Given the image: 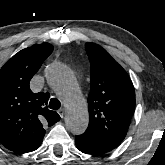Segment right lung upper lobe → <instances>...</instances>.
I'll return each instance as SVG.
<instances>
[{
    "label": "right lung upper lobe",
    "mask_w": 165,
    "mask_h": 165,
    "mask_svg": "<svg viewBox=\"0 0 165 165\" xmlns=\"http://www.w3.org/2000/svg\"><path fill=\"white\" fill-rule=\"evenodd\" d=\"M48 43L33 45L15 54L0 69V142L9 150L25 153L40 143L44 125L60 116L47 108L49 93H33L29 83L52 53Z\"/></svg>",
    "instance_id": "1"
}]
</instances>
